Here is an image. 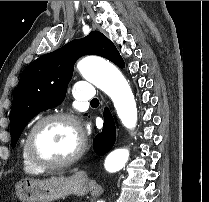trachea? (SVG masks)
I'll return each mask as SVG.
<instances>
[{
    "mask_svg": "<svg viewBox=\"0 0 209 202\" xmlns=\"http://www.w3.org/2000/svg\"><path fill=\"white\" fill-rule=\"evenodd\" d=\"M90 103L91 104H98L99 103V100L97 98H95Z\"/></svg>",
    "mask_w": 209,
    "mask_h": 202,
    "instance_id": "1",
    "label": "trachea"
}]
</instances>
